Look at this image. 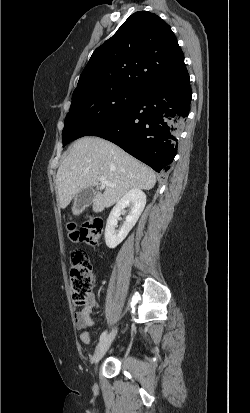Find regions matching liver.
Here are the masks:
<instances>
[{"instance_id": "obj_1", "label": "liver", "mask_w": 250, "mask_h": 413, "mask_svg": "<svg viewBox=\"0 0 250 413\" xmlns=\"http://www.w3.org/2000/svg\"><path fill=\"white\" fill-rule=\"evenodd\" d=\"M104 177L114 187H100ZM60 208H66L82 190L96 187L93 211L102 212L132 189L150 190L156 184L155 173L120 147L99 137H83L70 147L56 175ZM104 192H99L103 189Z\"/></svg>"}]
</instances>
